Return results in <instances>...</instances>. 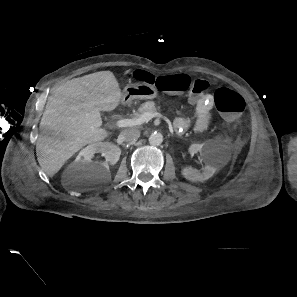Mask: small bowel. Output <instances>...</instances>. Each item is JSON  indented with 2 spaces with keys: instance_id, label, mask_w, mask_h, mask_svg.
<instances>
[{
  "instance_id": "small-bowel-1",
  "label": "small bowel",
  "mask_w": 297,
  "mask_h": 297,
  "mask_svg": "<svg viewBox=\"0 0 297 297\" xmlns=\"http://www.w3.org/2000/svg\"><path fill=\"white\" fill-rule=\"evenodd\" d=\"M191 103L195 105V118L193 120L189 118H177L174 122V128L178 131H185L188 128H192L196 133H203L207 130L211 122L213 97L210 94H206L202 97L191 98Z\"/></svg>"
}]
</instances>
